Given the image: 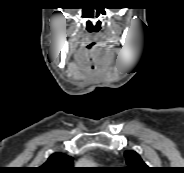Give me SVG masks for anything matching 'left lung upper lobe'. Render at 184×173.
<instances>
[{"mask_svg":"<svg viewBox=\"0 0 184 173\" xmlns=\"http://www.w3.org/2000/svg\"><path fill=\"white\" fill-rule=\"evenodd\" d=\"M128 167L124 168L126 173H148L149 167L143 162L135 151L125 152Z\"/></svg>","mask_w":184,"mask_h":173,"instance_id":"5c2ea615","label":"left lung upper lobe"}]
</instances>
